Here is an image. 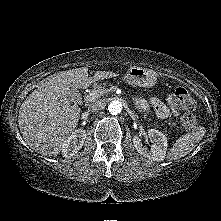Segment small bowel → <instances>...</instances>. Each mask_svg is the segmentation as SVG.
<instances>
[{
	"mask_svg": "<svg viewBox=\"0 0 221 221\" xmlns=\"http://www.w3.org/2000/svg\"><path fill=\"white\" fill-rule=\"evenodd\" d=\"M137 104L142 111L148 110L149 104L144 100L138 99ZM150 104L153 106L157 116L160 118H166L170 114L178 115V110L176 109L174 100L171 96L168 98L167 104H164L156 98H153Z\"/></svg>",
	"mask_w": 221,
	"mask_h": 221,
	"instance_id": "1",
	"label": "small bowel"
}]
</instances>
